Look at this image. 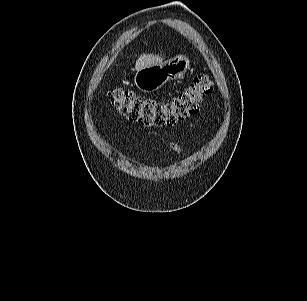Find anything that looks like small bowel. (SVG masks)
Listing matches in <instances>:
<instances>
[{
  "instance_id": "small-bowel-1",
  "label": "small bowel",
  "mask_w": 307,
  "mask_h": 301,
  "mask_svg": "<svg viewBox=\"0 0 307 301\" xmlns=\"http://www.w3.org/2000/svg\"><path fill=\"white\" fill-rule=\"evenodd\" d=\"M168 144H169V146H170L172 149H174L175 151H177V152H179V153L182 152V147H181V145L178 144L177 142L170 140V141H168Z\"/></svg>"
}]
</instances>
